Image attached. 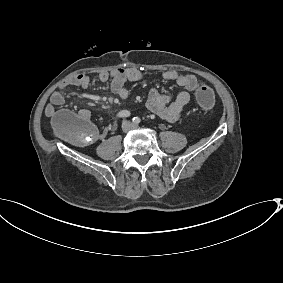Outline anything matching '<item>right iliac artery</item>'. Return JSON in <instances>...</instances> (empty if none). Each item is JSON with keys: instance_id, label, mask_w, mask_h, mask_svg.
Here are the masks:
<instances>
[{"instance_id": "82829eb1", "label": "right iliac artery", "mask_w": 283, "mask_h": 283, "mask_svg": "<svg viewBox=\"0 0 283 283\" xmlns=\"http://www.w3.org/2000/svg\"><path fill=\"white\" fill-rule=\"evenodd\" d=\"M129 116H130V112L127 110L120 111L117 114V118H124V117H129Z\"/></svg>"}]
</instances>
